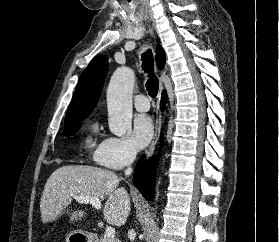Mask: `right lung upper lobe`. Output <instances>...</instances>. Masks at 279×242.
I'll use <instances>...</instances> for the list:
<instances>
[{
  "mask_svg": "<svg viewBox=\"0 0 279 242\" xmlns=\"http://www.w3.org/2000/svg\"><path fill=\"white\" fill-rule=\"evenodd\" d=\"M156 62L159 68L164 67L165 52L159 45L156 48ZM107 70V56H98L89 63L77 84L65 117V125L80 122L92 112L100 97Z\"/></svg>",
  "mask_w": 279,
  "mask_h": 242,
  "instance_id": "1",
  "label": "right lung upper lobe"
}]
</instances>
